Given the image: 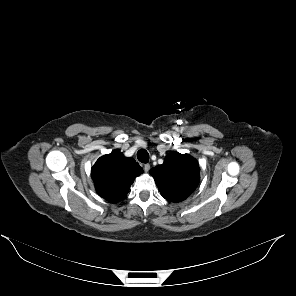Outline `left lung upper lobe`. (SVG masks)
<instances>
[{
	"instance_id": "left-lung-upper-lobe-1",
	"label": "left lung upper lobe",
	"mask_w": 296,
	"mask_h": 296,
	"mask_svg": "<svg viewBox=\"0 0 296 296\" xmlns=\"http://www.w3.org/2000/svg\"><path fill=\"white\" fill-rule=\"evenodd\" d=\"M161 195L171 201L180 202L196 189L200 179L197 161L188 154L176 151L168 154L164 163L150 170Z\"/></svg>"
}]
</instances>
